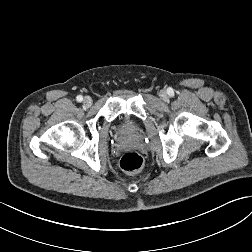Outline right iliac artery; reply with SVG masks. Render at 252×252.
Returning a JSON list of instances; mask_svg holds the SVG:
<instances>
[{
	"mask_svg": "<svg viewBox=\"0 0 252 252\" xmlns=\"http://www.w3.org/2000/svg\"><path fill=\"white\" fill-rule=\"evenodd\" d=\"M76 100H77L78 102H81V101L83 100V97H82L81 95H78V96L76 97Z\"/></svg>",
	"mask_w": 252,
	"mask_h": 252,
	"instance_id": "obj_1",
	"label": "right iliac artery"
}]
</instances>
